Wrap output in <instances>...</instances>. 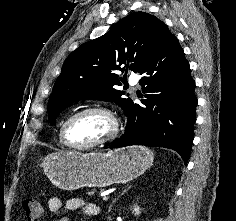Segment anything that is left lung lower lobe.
I'll list each match as a JSON object with an SVG mask.
<instances>
[{
	"label": "left lung lower lobe",
	"mask_w": 236,
	"mask_h": 221,
	"mask_svg": "<svg viewBox=\"0 0 236 221\" xmlns=\"http://www.w3.org/2000/svg\"><path fill=\"white\" fill-rule=\"evenodd\" d=\"M145 100L125 111V133L110 148L129 145L165 147L187 163L193 142L197 99L190 65L176 37L168 30L139 72Z\"/></svg>",
	"instance_id": "obj_1"
}]
</instances>
